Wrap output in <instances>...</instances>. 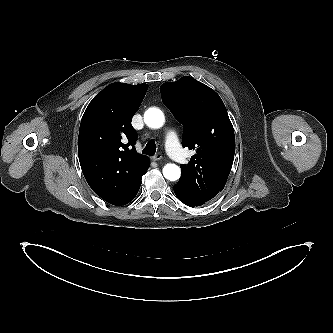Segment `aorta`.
<instances>
[{
    "mask_svg": "<svg viewBox=\"0 0 333 333\" xmlns=\"http://www.w3.org/2000/svg\"><path fill=\"white\" fill-rule=\"evenodd\" d=\"M146 125L153 129H158L163 126L165 117L163 112L158 108H150L144 114ZM163 175L170 181H176L181 175L180 168L175 164H166L163 168Z\"/></svg>",
    "mask_w": 333,
    "mask_h": 333,
    "instance_id": "aorta-1",
    "label": "aorta"
}]
</instances>
